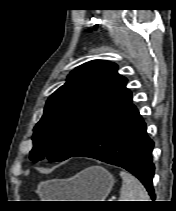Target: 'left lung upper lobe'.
<instances>
[{
  "mask_svg": "<svg viewBox=\"0 0 176 211\" xmlns=\"http://www.w3.org/2000/svg\"><path fill=\"white\" fill-rule=\"evenodd\" d=\"M118 66L93 60L75 68L47 100L33 132L30 159L63 161L81 149L92 134L132 102L127 79Z\"/></svg>",
  "mask_w": 176,
  "mask_h": 211,
  "instance_id": "obj_1",
  "label": "left lung upper lobe"
}]
</instances>
